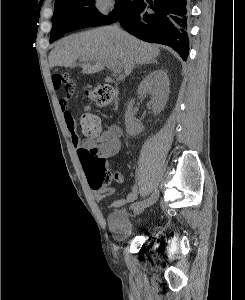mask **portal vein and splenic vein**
Returning a JSON list of instances; mask_svg holds the SVG:
<instances>
[{"label":"portal vein and splenic vein","mask_w":245,"mask_h":300,"mask_svg":"<svg viewBox=\"0 0 245 300\" xmlns=\"http://www.w3.org/2000/svg\"><path fill=\"white\" fill-rule=\"evenodd\" d=\"M108 68H110L114 73H120L122 71L118 63L114 61H104Z\"/></svg>","instance_id":"18ae733b"}]
</instances>
